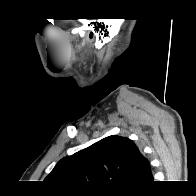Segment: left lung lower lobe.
Listing matches in <instances>:
<instances>
[{
	"mask_svg": "<svg viewBox=\"0 0 196 196\" xmlns=\"http://www.w3.org/2000/svg\"><path fill=\"white\" fill-rule=\"evenodd\" d=\"M152 181H153V176H152V172H151V168H150L143 184L151 183Z\"/></svg>",
	"mask_w": 196,
	"mask_h": 196,
	"instance_id": "obj_1",
	"label": "left lung lower lobe"
}]
</instances>
